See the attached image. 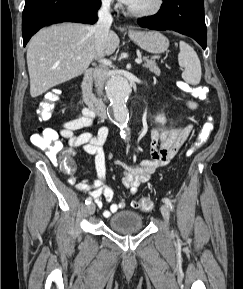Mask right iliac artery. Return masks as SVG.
Returning <instances> with one entry per match:
<instances>
[{
  "instance_id": "82829eb1",
  "label": "right iliac artery",
  "mask_w": 243,
  "mask_h": 289,
  "mask_svg": "<svg viewBox=\"0 0 243 289\" xmlns=\"http://www.w3.org/2000/svg\"><path fill=\"white\" fill-rule=\"evenodd\" d=\"M92 202V199L90 197H88L86 200H85V203L86 204H90Z\"/></svg>"
}]
</instances>
